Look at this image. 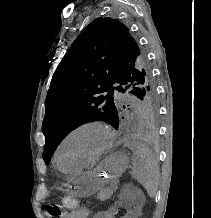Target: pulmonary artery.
I'll return each mask as SVG.
<instances>
[{"instance_id":"obj_1","label":"pulmonary artery","mask_w":211,"mask_h":218,"mask_svg":"<svg viewBox=\"0 0 211 218\" xmlns=\"http://www.w3.org/2000/svg\"><path fill=\"white\" fill-rule=\"evenodd\" d=\"M109 95H120L119 87L116 84H109Z\"/></svg>"}]
</instances>
